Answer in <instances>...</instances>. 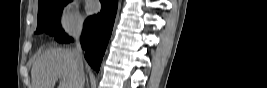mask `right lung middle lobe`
Masks as SVG:
<instances>
[{"instance_id": "obj_1", "label": "right lung middle lobe", "mask_w": 267, "mask_h": 88, "mask_svg": "<svg viewBox=\"0 0 267 88\" xmlns=\"http://www.w3.org/2000/svg\"><path fill=\"white\" fill-rule=\"evenodd\" d=\"M72 0H41L38 3V25L35 34L45 32L51 36H60L62 10Z\"/></svg>"}]
</instances>
